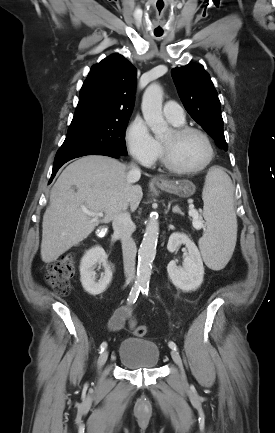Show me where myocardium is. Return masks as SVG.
Masks as SVG:
<instances>
[{"mask_svg": "<svg viewBox=\"0 0 275 433\" xmlns=\"http://www.w3.org/2000/svg\"><path fill=\"white\" fill-rule=\"evenodd\" d=\"M171 132L175 138H181V137H183L187 134H190V133H197V134L201 135L205 139V141L208 145L209 156H208L207 160L198 167H194V168L180 167L173 161L170 150L168 149L166 144L161 141L163 163L170 171L177 173V174H196V173H199V172L203 171L204 169H206L212 163V161L215 157V147H214V143H213L211 137L209 136V134L207 132H205L204 130H202L201 128H198V127L184 126V125L173 127Z\"/></svg>", "mask_w": 275, "mask_h": 433, "instance_id": "obj_1", "label": "myocardium"}]
</instances>
